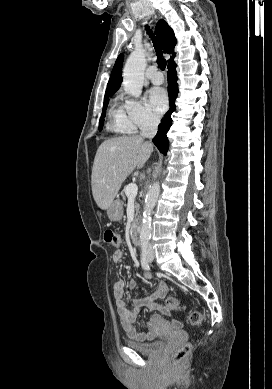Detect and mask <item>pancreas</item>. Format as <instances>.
<instances>
[{
	"label": "pancreas",
	"instance_id": "cf45deb5",
	"mask_svg": "<svg viewBox=\"0 0 272 389\" xmlns=\"http://www.w3.org/2000/svg\"><path fill=\"white\" fill-rule=\"evenodd\" d=\"M122 197H123V200L125 201V200H126V196L123 194V195H122ZM135 208H136V214H135V217H136V216H137V214H138L139 205H138V204H136Z\"/></svg>",
	"mask_w": 272,
	"mask_h": 389
}]
</instances>
